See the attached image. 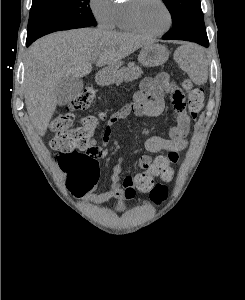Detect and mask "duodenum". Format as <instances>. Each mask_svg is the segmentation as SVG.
Listing matches in <instances>:
<instances>
[{
	"mask_svg": "<svg viewBox=\"0 0 245 300\" xmlns=\"http://www.w3.org/2000/svg\"><path fill=\"white\" fill-rule=\"evenodd\" d=\"M97 80L99 83H104L107 80V74L106 73H100L97 77Z\"/></svg>",
	"mask_w": 245,
	"mask_h": 300,
	"instance_id": "1",
	"label": "duodenum"
}]
</instances>
